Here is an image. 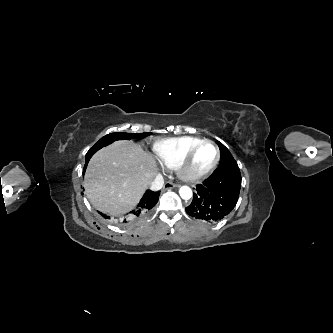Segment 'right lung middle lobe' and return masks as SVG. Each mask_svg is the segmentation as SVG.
<instances>
[{
	"label": "right lung middle lobe",
	"mask_w": 333,
	"mask_h": 333,
	"mask_svg": "<svg viewBox=\"0 0 333 333\" xmlns=\"http://www.w3.org/2000/svg\"><path fill=\"white\" fill-rule=\"evenodd\" d=\"M148 133H136V134H130V133H111L104 137H102L90 150L89 152L95 153L97 150L101 149L104 146H107L108 144H111L112 142L120 139H133V138H141L147 136Z\"/></svg>",
	"instance_id": "1"
}]
</instances>
